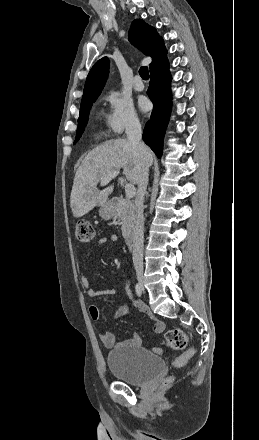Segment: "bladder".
Wrapping results in <instances>:
<instances>
[{
  "mask_svg": "<svg viewBox=\"0 0 259 440\" xmlns=\"http://www.w3.org/2000/svg\"><path fill=\"white\" fill-rule=\"evenodd\" d=\"M106 361L116 379L131 385H143L164 369L160 356L136 346H118L108 353Z\"/></svg>",
  "mask_w": 259,
  "mask_h": 440,
  "instance_id": "bladder-1",
  "label": "bladder"
}]
</instances>
